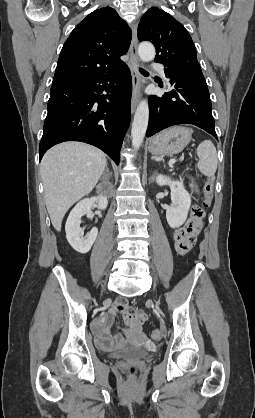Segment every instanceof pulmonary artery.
<instances>
[{"label":"pulmonary artery","mask_w":255,"mask_h":418,"mask_svg":"<svg viewBox=\"0 0 255 418\" xmlns=\"http://www.w3.org/2000/svg\"><path fill=\"white\" fill-rule=\"evenodd\" d=\"M153 68L163 74V68L159 64H153Z\"/></svg>","instance_id":"e3ab8cb5"}]
</instances>
